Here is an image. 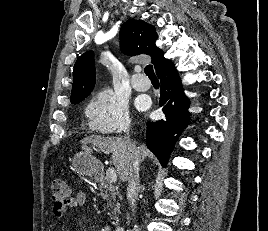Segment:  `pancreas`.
<instances>
[{
    "instance_id": "pancreas-1",
    "label": "pancreas",
    "mask_w": 268,
    "mask_h": 231,
    "mask_svg": "<svg viewBox=\"0 0 268 231\" xmlns=\"http://www.w3.org/2000/svg\"><path fill=\"white\" fill-rule=\"evenodd\" d=\"M100 195L104 200H107V205L110 207L109 210H112L111 219H113V224L116 225L119 222L118 214L120 213V204L116 200V197L119 196V192L116 186L110 183L107 179L99 185Z\"/></svg>"
}]
</instances>
